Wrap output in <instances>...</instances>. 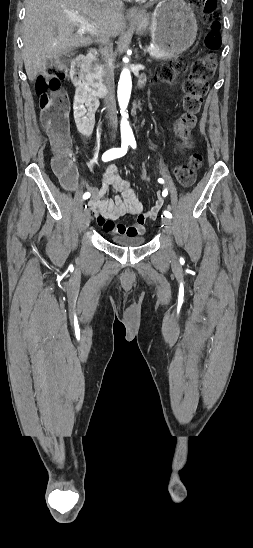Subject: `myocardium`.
Returning a JSON list of instances; mask_svg holds the SVG:
<instances>
[{
  "instance_id": "f54148a6",
  "label": "myocardium",
  "mask_w": 253,
  "mask_h": 548,
  "mask_svg": "<svg viewBox=\"0 0 253 548\" xmlns=\"http://www.w3.org/2000/svg\"><path fill=\"white\" fill-rule=\"evenodd\" d=\"M141 1H146V0H141ZM149 1H158V0H149Z\"/></svg>"
}]
</instances>
